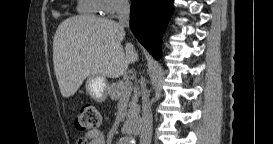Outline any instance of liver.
<instances>
[{
  "instance_id": "liver-1",
  "label": "liver",
  "mask_w": 273,
  "mask_h": 144,
  "mask_svg": "<svg viewBox=\"0 0 273 144\" xmlns=\"http://www.w3.org/2000/svg\"><path fill=\"white\" fill-rule=\"evenodd\" d=\"M119 23L89 15L64 20L53 39V64L63 97L73 96L89 76L117 78L138 60Z\"/></svg>"
}]
</instances>
